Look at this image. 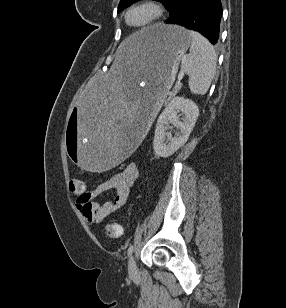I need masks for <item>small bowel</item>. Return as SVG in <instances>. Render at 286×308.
Instances as JSON below:
<instances>
[{
  "mask_svg": "<svg viewBox=\"0 0 286 308\" xmlns=\"http://www.w3.org/2000/svg\"><path fill=\"white\" fill-rule=\"evenodd\" d=\"M139 175L136 163L127 164L120 172L92 190H86L85 184L81 192H73L76 196V206L88 224H98L105 218L121 209L127 202L131 187ZM108 190H114L112 197L105 202L96 198Z\"/></svg>",
  "mask_w": 286,
  "mask_h": 308,
  "instance_id": "small-bowel-1",
  "label": "small bowel"
}]
</instances>
